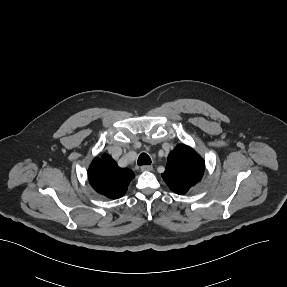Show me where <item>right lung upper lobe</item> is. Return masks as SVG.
Wrapping results in <instances>:
<instances>
[{"label": "right lung upper lobe", "mask_w": 287, "mask_h": 287, "mask_svg": "<svg viewBox=\"0 0 287 287\" xmlns=\"http://www.w3.org/2000/svg\"><path fill=\"white\" fill-rule=\"evenodd\" d=\"M88 178L96 192L110 199H118L126 193L134 173L130 169L120 168L111 156L104 154L93 160Z\"/></svg>", "instance_id": "obj_1"}]
</instances>
